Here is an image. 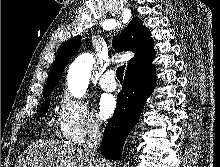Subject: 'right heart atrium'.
I'll return each instance as SVG.
<instances>
[{
    "mask_svg": "<svg viewBox=\"0 0 220 167\" xmlns=\"http://www.w3.org/2000/svg\"><path fill=\"white\" fill-rule=\"evenodd\" d=\"M61 135L72 144H82L89 136L99 134L101 125L88 105L64 94L56 118Z\"/></svg>",
    "mask_w": 220,
    "mask_h": 167,
    "instance_id": "right-heart-atrium-1",
    "label": "right heart atrium"
}]
</instances>
